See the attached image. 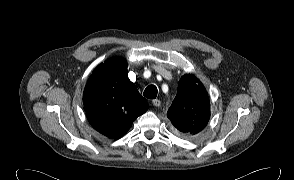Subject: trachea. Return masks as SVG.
<instances>
[{"label":"trachea","mask_w":294,"mask_h":180,"mask_svg":"<svg viewBox=\"0 0 294 180\" xmlns=\"http://www.w3.org/2000/svg\"><path fill=\"white\" fill-rule=\"evenodd\" d=\"M144 96L149 99H154L157 96V87L155 85H149L144 90Z\"/></svg>","instance_id":"trachea-1"}]
</instances>
